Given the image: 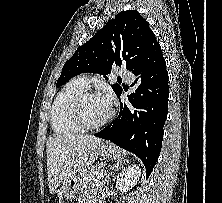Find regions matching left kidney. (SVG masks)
Here are the masks:
<instances>
[{
    "instance_id": "1",
    "label": "left kidney",
    "mask_w": 222,
    "mask_h": 203,
    "mask_svg": "<svg viewBox=\"0 0 222 203\" xmlns=\"http://www.w3.org/2000/svg\"><path fill=\"white\" fill-rule=\"evenodd\" d=\"M141 176V168L133 164L124 168L120 174L117 176L116 188L121 190V192H127L130 187L137 183V180Z\"/></svg>"
}]
</instances>
